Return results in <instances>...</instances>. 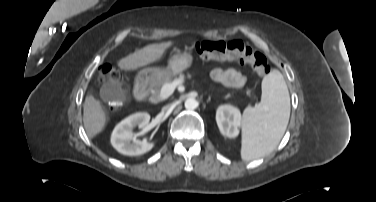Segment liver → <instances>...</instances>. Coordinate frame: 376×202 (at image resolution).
<instances>
[{
  "label": "liver",
  "instance_id": "obj_1",
  "mask_svg": "<svg viewBox=\"0 0 376 202\" xmlns=\"http://www.w3.org/2000/svg\"><path fill=\"white\" fill-rule=\"evenodd\" d=\"M172 42L150 44L122 58L117 65L121 70H135L159 60ZM83 123L88 137L93 138L100 133L106 124L107 116L99 100L92 95L85 98L83 105Z\"/></svg>",
  "mask_w": 376,
  "mask_h": 202
}]
</instances>
